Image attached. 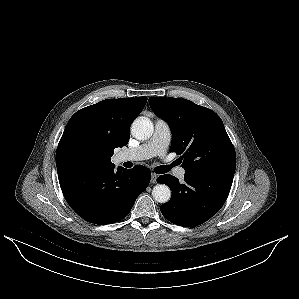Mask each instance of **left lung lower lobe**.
Instances as JSON below:
<instances>
[{"label": "left lung lower lobe", "instance_id": "0a47b994", "mask_svg": "<svg viewBox=\"0 0 299 299\" xmlns=\"http://www.w3.org/2000/svg\"><path fill=\"white\" fill-rule=\"evenodd\" d=\"M234 173L217 170L185 172L184 182L171 175L159 176L157 181L172 191L170 201L161 205L163 216L170 222L193 227L215 215L225 203Z\"/></svg>", "mask_w": 299, "mask_h": 299}]
</instances>
